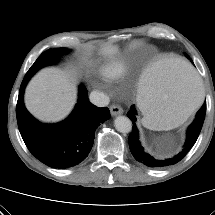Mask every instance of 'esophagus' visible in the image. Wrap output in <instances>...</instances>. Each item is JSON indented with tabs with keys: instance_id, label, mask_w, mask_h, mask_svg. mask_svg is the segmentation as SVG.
<instances>
[{
	"instance_id": "esophagus-1",
	"label": "esophagus",
	"mask_w": 215,
	"mask_h": 215,
	"mask_svg": "<svg viewBox=\"0 0 215 215\" xmlns=\"http://www.w3.org/2000/svg\"><path fill=\"white\" fill-rule=\"evenodd\" d=\"M110 113L112 116L121 115V114H123V109L118 105H111Z\"/></svg>"
}]
</instances>
